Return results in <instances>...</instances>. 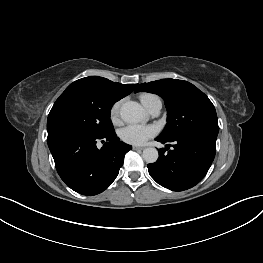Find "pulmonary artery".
I'll list each match as a JSON object with an SVG mask.
<instances>
[{
	"label": "pulmonary artery",
	"instance_id": "1",
	"mask_svg": "<svg viewBox=\"0 0 263 263\" xmlns=\"http://www.w3.org/2000/svg\"><path fill=\"white\" fill-rule=\"evenodd\" d=\"M145 108L151 115L157 116L162 109V102L159 97L155 96L150 100Z\"/></svg>",
	"mask_w": 263,
	"mask_h": 263
}]
</instances>
